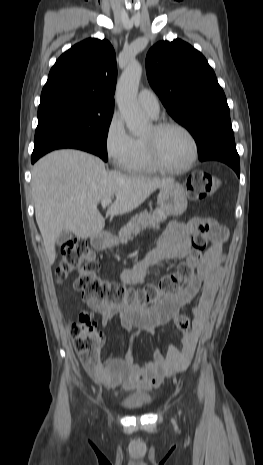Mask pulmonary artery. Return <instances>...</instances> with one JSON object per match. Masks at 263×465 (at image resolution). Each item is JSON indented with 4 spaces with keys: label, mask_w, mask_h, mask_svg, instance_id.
<instances>
[{
    "label": "pulmonary artery",
    "mask_w": 263,
    "mask_h": 465,
    "mask_svg": "<svg viewBox=\"0 0 263 465\" xmlns=\"http://www.w3.org/2000/svg\"><path fill=\"white\" fill-rule=\"evenodd\" d=\"M138 103L143 111L153 118L159 113V102L155 93L148 89H143L138 94Z\"/></svg>",
    "instance_id": "obj_1"
}]
</instances>
